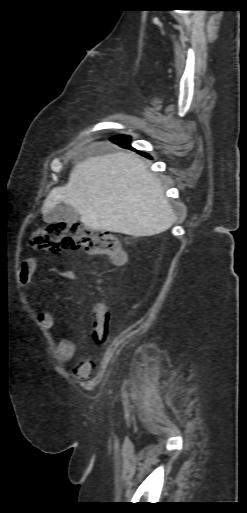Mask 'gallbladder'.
I'll use <instances>...</instances> for the list:
<instances>
[{"instance_id": "gallbladder-1", "label": "gallbladder", "mask_w": 247, "mask_h": 513, "mask_svg": "<svg viewBox=\"0 0 247 513\" xmlns=\"http://www.w3.org/2000/svg\"><path fill=\"white\" fill-rule=\"evenodd\" d=\"M45 219L48 223L66 222L72 224L79 220V214L71 206L60 203L45 216Z\"/></svg>"}]
</instances>
